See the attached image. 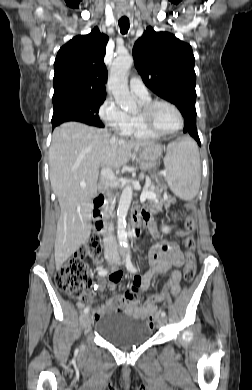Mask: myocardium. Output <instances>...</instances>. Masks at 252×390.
<instances>
[{
  "mask_svg": "<svg viewBox=\"0 0 252 390\" xmlns=\"http://www.w3.org/2000/svg\"><path fill=\"white\" fill-rule=\"evenodd\" d=\"M159 104H165V105L171 107L175 111V113L177 114L179 123L175 129L170 130V131H162V130H159L158 128L155 127L152 117H153V112H154L155 108ZM138 118H139L140 123L143 126V128L147 132H149L150 134L155 135V136L173 135V134L179 132L183 128V125H184V117H183L180 109L174 103H172L168 100H164V99L151 100L150 102L144 104L140 113L138 114Z\"/></svg>",
  "mask_w": 252,
  "mask_h": 390,
  "instance_id": "obj_1",
  "label": "myocardium"
}]
</instances>
